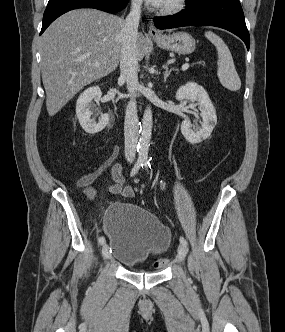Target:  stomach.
I'll return each instance as SVG.
<instances>
[{"label":"stomach","instance_id":"1","mask_svg":"<svg viewBox=\"0 0 285 332\" xmlns=\"http://www.w3.org/2000/svg\"><path fill=\"white\" fill-rule=\"evenodd\" d=\"M154 41L162 49L170 50L183 55L191 54L196 47L195 39L186 32L162 35L154 38Z\"/></svg>","mask_w":285,"mask_h":332}]
</instances>
